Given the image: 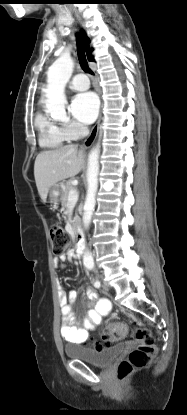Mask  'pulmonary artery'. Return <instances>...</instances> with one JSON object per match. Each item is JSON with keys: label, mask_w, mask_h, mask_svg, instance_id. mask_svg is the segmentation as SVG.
Returning a JSON list of instances; mask_svg holds the SVG:
<instances>
[{"label": "pulmonary artery", "mask_w": 187, "mask_h": 415, "mask_svg": "<svg viewBox=\"0 0 187 415\" xmlns=\"http://www.w3.org/2000/svg\"><path fill=\"white\" fill-rule=\"evenodd\" d=\"M90 82L84 74H76L69 82V87L75 91H83L88 89Z\"/></svg>", "instance_id": "obj_1"}]
</instances>
